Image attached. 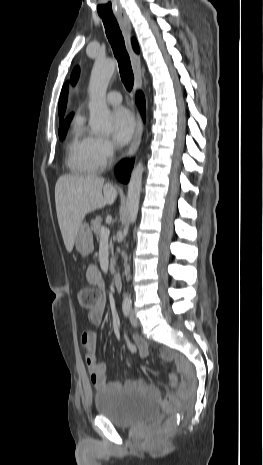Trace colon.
<instances>
[{"mask_svg": "<svg viewBox=\"0 0 263 465\" xmlns=\"http://www.w3.org/2000/svg\"><path fill=\"white\" fill-rule=\"evenodd\" d=\"M77 300L79 305L82 307L83 310L86 312H90L96 308V306L101 301V293L94 288L91 287H83L79 289L77 293ZM187 385H191L190 379H187ZM164 407L167 411L172 412L176 407V402L171 400H164ZM176 424V418L174 415L169 416L165 423L164 428L166 430L171 429Z\"/></svg>", "mask_w": 263, "mask_h": 465, "instance_id": "1", "label": "colon"}]
</instances>
